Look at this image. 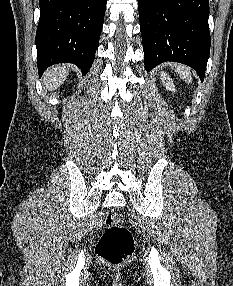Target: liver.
<instances>
[{"mask_svg": "<svg viewBox=\"0 0 233 286\" xmlns=\"http://www.w3.org/2000/svg\"><path fill=\"white\" fill-rule=\"evenodd\" d=\"M68 71V68L61 65L51 67L44 73L42 78L44 85L49 91L56 89L65 81Z\"/></svg>", "mask_w": 233, "mask_h": 286, "instance_id": "liver-1", "label": "liver"}]
</instances>
